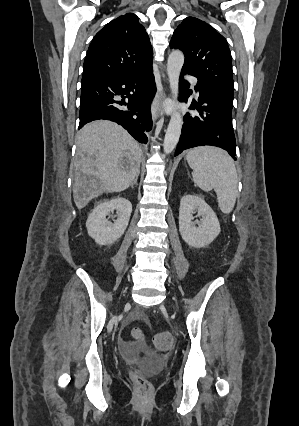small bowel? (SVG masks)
Returning a JSON list of instances; mask_svg holds the SVG:
<instances>
[{"instance_id":"1","label":"small bowel","mask_w":299,"mask_h":426,"mask_svg":"<svg viewBox=\"0 0 299 426\" xmlns=\"http://www.w3.org/2000/svg\"><path fill=\"white\" fill-rule=\"evenodd\" d=\"M144 316L142 313L140 312H136L133 314V319H143ZM121 349L124 353V355L130 359V360H134L135 359V353L136 350L138 349V345L134 342H122L121 343Z\"/></svg>"}]
</instances>
